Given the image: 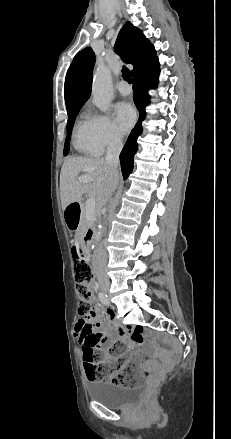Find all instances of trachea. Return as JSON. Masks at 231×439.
<instances>
[{"label":"trachea","mask_w":231,"mask_h":439,"mask_svg":"<svg viewBox=\"0 0 231 439\" xmlns=\"http://www.w3.org/2000/svg\"><path fill=\"white\" fill-rule=\"evenodd\" d=\"M122 77L124 78L125 81H127L130 84L133 82L131 72L126 67H123L122 69Z\"/></svg>","instance_id":"trachea-1"}]
</instances>
